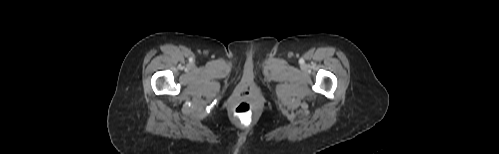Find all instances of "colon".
Listing matches in <instances>:
<instances>
[{
    "label": "colon",
    "mask_w": 499,
    "mask_h": 154,
    "mask_svg": "<svg viewBox=\"0 0 499 154\" xmlns=\"http://www.w3.org/2000/svg\"><path fill=\"white\" fill-rule=\"evenodd\" d=\"M234 117L242 124H249L253 116V106L248 100H241L233 110Z\"/></svg>",
    "instance_id": "5ec220e1"
}]
</instances>
